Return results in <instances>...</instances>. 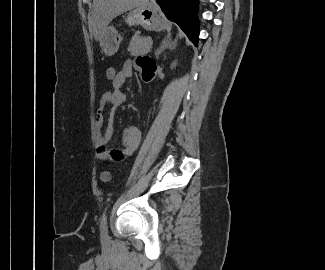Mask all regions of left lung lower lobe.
<instances>
[{"label": "left lung lower lobe", "mask_w": 325, "mask_h": 270, "mask_svg": "<svg viewBox=\"0 0 325 270\" xmlns=\"http://www.w3.org/2000/svg\"><path fill=\"white\" fill-rule=\"evenodd\" d=\"M165 16L177 23L197 46L198 43V0H161L158 2Z\"/></svg>", "instance_id": "left-lung-lower-lobe-1"}]
</instances>
